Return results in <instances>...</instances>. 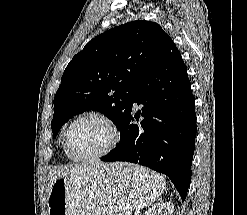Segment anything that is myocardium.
Here are the masks:
<instances>
[{"instance_id":"1","label":"myocardium","mask_w":247,"mask_h":215,"mask_svg":"<svg viewBox=\"0 0 247 215\" xmlns=\"http://www.w3.org/2000/svg\"><path fill=\"white\" fill-rule=\"evenodd\" d=\"M84 119H95V120L103 123L108 128V130L110 131L111 138H110L108 145L103 150H101L95 154L77 157V156H74L70 151L69 135H70V132H71L73 126L77 122L84 120ZM119 138H120L119 130H118L117 126L112 122L111 119H109L107 116H105L101 113H98V112H86V113H83V114L79 115L78 117H76L68 125V127L66 128V130L64 132V136H63V146H64V150H65L67 156L71 160L77 161V162L90 161V160L101 159V158L107 156L109 153H111L115 149V147L117 146V144L119 142Z\"/></svg>"}]
</instances>
